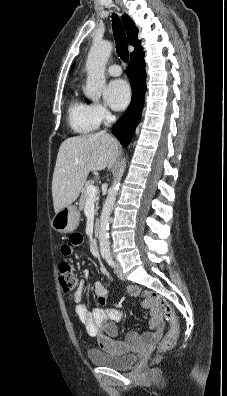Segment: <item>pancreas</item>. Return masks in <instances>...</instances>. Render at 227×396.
I'll use <instances>...</instances> for the list:
<instances>
[{"label":"pancreas","instance_id":"1","mask_svg":"<svg viewBox=\"0 0 227 396\" xmlns=\"http://www.w3.org/2000/svg\"><path fill=\"white\" fill-rule=\"evenodd\" d=\"M93 184H94V182H93L92 180H90V181L86 182V184H85L84 187L82 188V190H81V196H80V200H79V209H80V210H84L85 204H86V201H87V198H88L87 188H88L90 185H93ZM98 200H99V198H98V197H95V201L98 202ZM97 205H98V203H96V209H97Z\"/></svg>","mask_w":227,"mask_h":396}]
</instances>
